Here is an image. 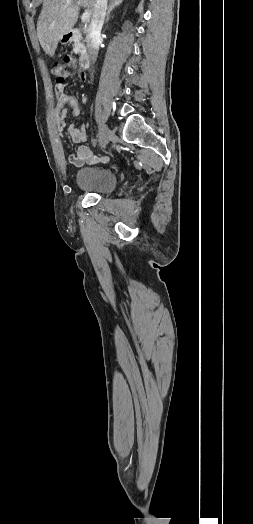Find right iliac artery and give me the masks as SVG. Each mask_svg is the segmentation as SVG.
<instances>
[{
    "instance_id": "obj_1",
    "label": "right iliac artery",
    "mask_w": 253,
    "mask_h": 524,
    "mask_svg": "<svg viewBox=\"0 0 253 524\" xmlns=\"http://www.w3.org/2000/svg\"><path fill=\"white\" fill-rule=\"evenodd\" d=\"M99 142H100V139H99L98 137H96V138L93 140V146L95 147Z\"/></svg>"
}]
</instances>
